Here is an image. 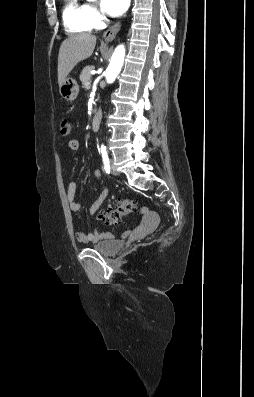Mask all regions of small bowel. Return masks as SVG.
I'll use <instances>...</instances> for the list:
<instances>
[{"mask_svg":"<svg viewBox=\"0 0 254 397\" xmlns=\"http://www.w3.org/2000/svg\"><path fill=\"white\" fill-rule=\"evenodd\" d=\"M68 147L73 151L78 150L79 141L76 139L70 140L68 143ZM94 177L100 180L102 177L101 172L99 170H95ZM76 190H77L76 183L70 182L67 187V200L69 203L70 210L73 213H78L82 209L81 204L76 200ZM107 196H108V190L106 187L103 186L98 198L88 208V213L94 214L95 212H97L98 209L102 206V204L106 200ZM142 214L146 218V221L149 222V220L152 217V214L147 209H143ZM75 237L77 241L81 243H90V242L95 243L99 241L109 240L113 237V235L109 232H99L95 230L93 232L78 231L75 233Z\"/></svg>","mask_w":254,"mask_h":397,"instance_id":"small-bowel-1","label":"small bowel"}]
</instances>
